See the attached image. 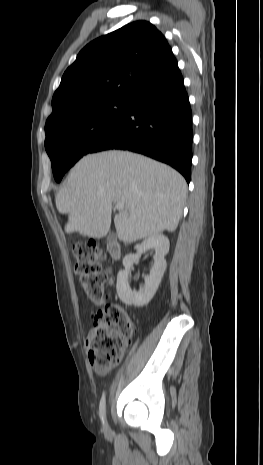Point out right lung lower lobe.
Returning a JSON list of instances; mask_svg holds the SVG:
<instances>
[{"label": "right lung lower lobe", "instance_id": "1", "mask_svg": "<svg viewBox=\"0 0 263 465\" xmlns=\"http://www.w3.org/2000/svg\"><path fill=\"white\" fill-rule=\"evenodd\" d=\"M192 113L178 67L140 88L124 118L90 153L123 149L162 161L189 183L192 161Z\"/></svg>", "mask_w": 263, "mask_h": 465}]
</instances>
